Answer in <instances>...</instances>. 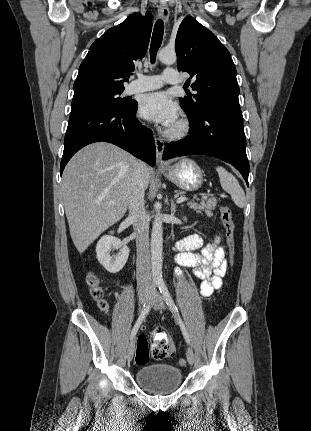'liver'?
<instances>
[{"mask_svg": "<svg viewBox=\"0 0 311 431\" xmlns=\"http://www.w3.org/2000/svg\"><path fill=\"white\" fill-rule=\"evenodd\" d=\"M138 164L147 190L150 168L113 144H90L68 162L61 192L70 235L80 253L126 214Z\"/></svg>", "mask_w": 311, "mask_h": 431, "instance_id": "1", "label": "liver"}]
</instances>
